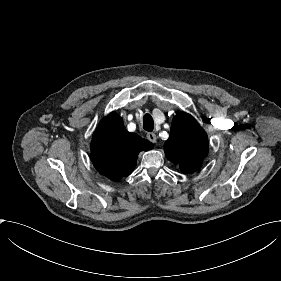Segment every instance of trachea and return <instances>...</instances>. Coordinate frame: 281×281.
<instances>
[{"mask_svg":"<svg viewBox=\"0 0 281 281\" xmlns=\"http://www.w3.org/2000/svg\"><path fill=\"white\" fill-rule=\"evenodd\" d=\"M143 128L144 130L151 132L154 129V121L151 115L145 114L143 117Z\"/></svg>","mask_w":281,"mask_h":281,"instance_id":"obj_1","label":"trachea"}]
</instances>
